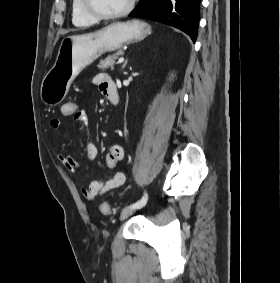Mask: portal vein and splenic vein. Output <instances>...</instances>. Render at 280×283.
<instances>
[{"label":"portal vein and splenic vein","instance_id":"18ae733b","mask_svg":"<svg viewBox=\"0 0 280 283\" xmlns=\"http://www.w3.org/2000/svg\"><path fill=\"white\" fill-rule=\"evenodd\" d=\"M124 62V57H120L119 59H118V64H121V63H123Z\"/></svg>","mask_w":280,"mask_h":283}]
</instances>
